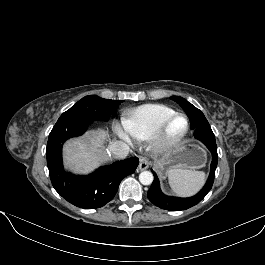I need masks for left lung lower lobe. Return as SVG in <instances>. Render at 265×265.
Segmentation results:
<instances>
[{"instance_id": "1", "label": "left lung lower lobe", "mask_w": 265, "mask_h": 265, "mask_svg": "<svg viewBox=\"0 0 265 265\" xmlns=\"http://www.w3.org/2000/svg\"><path fill=\"white\" fill-rule=\"evenodd\" d=\"M192 130H194V137L197 140L201 141L212 153L211 171L208 180L204 185V187L200 190V192H198L193 197L189 198L171 197V196H166L162 193L160 189L159 179L156 173L153 170H151L152 173L154 174V181L150 189L148 190L147 196L153 204H155L156 206L162 209L169 211L186 210L198 204L212 188L214 182L215 170L218 162L215 135L209 124L197 126Z\"/></svg>"}]
</instances>
